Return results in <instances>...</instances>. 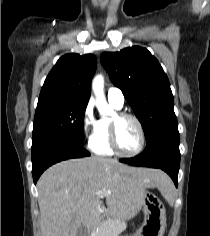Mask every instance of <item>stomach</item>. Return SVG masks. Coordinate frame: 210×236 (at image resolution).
Here are the masks:
<instances>
[{
    "label": "stomach",
    "mask_w": 210,
    "mask_h": 236,
    "mask_svg": "<svg viewBox=\"0 0 210 236\" xmlns=\"http://www.w3.org/2000/svg\"><path fill=\"white\" fill-rule=\"evenodd\" d=\"M144 222L134 236H163L166 228L165 209L161 201L145 190L142 197Z\"/></svg>",
    "instance_id": "stomach-1"
}]
</instances>
